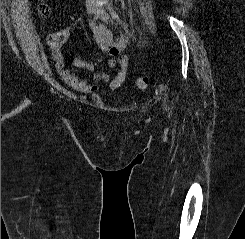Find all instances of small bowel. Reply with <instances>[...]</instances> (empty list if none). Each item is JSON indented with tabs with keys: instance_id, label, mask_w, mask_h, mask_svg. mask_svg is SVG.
<instances>
[{
	"instance_id": "obj_1",
	"label": "small bowel",
	"mask_w": 245,
	"mask_h": 239,
	"mask_svg": "<svg viewBox=\"0 0 245 239\" xmlns=\"http://www.w3.org/2000/svg\"><path fill=\"white\" fill-rule=\"evenodd\" d=\"M91 29L97 46L108 54L107 66L114 69L119 65L116 76L110 80L109 75L105 72H97L94 82H88L80 78L74 69L66 68L64 56L59 51L52 53V60L55 62L56 72L66 84L82 93L96 91L100 83L106 84L112 90L118 89L127 77L128 58L122 52L127 45L128 36L115 39L113 32L103 24L91 23ZM57 35L61 41L66 38L65 32L58 33ZM68 58L71 66L74 68L84 69L90 72L95 70V65L92 61L81 59L74 52H69Z\"/></svg>"
}]
</instances>
